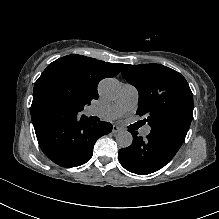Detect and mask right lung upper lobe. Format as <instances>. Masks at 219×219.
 Returning <instances> with one entry per match:
<instances>
[{
    "instance_id": "obj_1",
    "label": "right lung upper lobe",
    "mask_w": 219,
    "mask_h": 219,
    "mask_svg": "<svg viewBox=\"0 0 219 219\" xmlns=\"http://www.w3.org/2000/svg\"><path fill=\"white\" fill-rule=\"evenodd\" d=\"M122 66L76 54L55 60L35 83L31 116L48 115L44 99L51 92L64 94L70 102V115L77 116L91 100L98 99V83L104 78L116 76Z\"/></svg>"
}]
</instances>
